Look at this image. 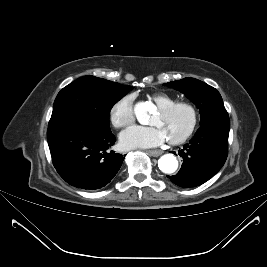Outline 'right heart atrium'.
<instances>
[{
	"label": "right heart atrium",
	"mask_w": 267,
	"mask_h": 267,
	"mask_svg": "<svg viewBox=\"0 0 267 267\" xmlns=\"http://www.w3.org/2000/svg\"><path fill=\"white\" fill-rule=\"evenodd\" d=\"M134 98L127 94L119 98L110 108L109 117L115 128L121 129L134 122Z\"/></svg>",
	"instance_id": "1"
}]
</instances>
